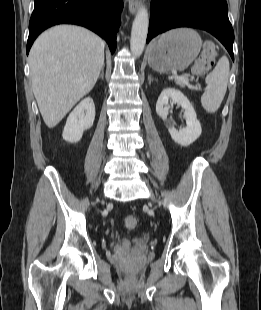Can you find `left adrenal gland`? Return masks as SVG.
Here are the masks:
<instances>
[{
  "label": "left adrenal gland",
  "instance_id": "left-adrenal-gland-1",
  "mask_svg": "<svg viewBox=\"0 0 261 310\" xmlns=\"http://www.w3.org/2000/svg\"><path fill=\"white\" fill-rule=\"evenodd\" d=\"M155 79L154 78H152V76L151 75H148V83L149 84H151V82L152 81H154Z\"/></svg>",
  "mask_w": 261,
  "mask_h": 310
}]
</instances>
